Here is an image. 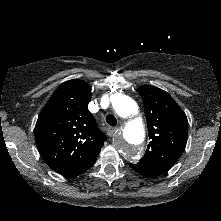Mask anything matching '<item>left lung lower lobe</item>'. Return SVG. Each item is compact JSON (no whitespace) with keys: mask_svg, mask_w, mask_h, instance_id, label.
Segmentation results:
<instances>
[{"mask_svg":"<svg viewBox=\"0 0 221 221\" xmlns=\"http://www.w3.org/2000/svg\"><path fill=\"white\" fill-rule=\"evenodd\" d=\"M129 166L134 171H136L137 173H139V174H141V175H143L145 177H152V176H156L157 175L153 170H151V169L147 168L146 166H144L142 164H139V163H137V164L130 163Z\"/></svg>","mask_w":221,"mask_h":221,"instance_id":"0a47b994","label":"left lung lower lobe"}]
</instances>
